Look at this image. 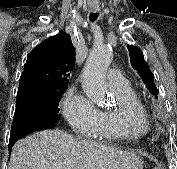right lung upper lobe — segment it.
<instances>
[{
    "instance_id": "1",
    "label": "right lung upper lobe",
    "mask_w": 177,
    "mask_h": 169,
    "mask_svg": "<svg viewBox=\"0 0 177 169\" xmlns=\"http://www.w3.org/2000/svg\"><path fill=\"white\" fill-rule=\"evenodd\" d=\"M75 66V48L65 32L43 41L27 57L17 97L49 95L67 89Z\"/></svg>"
}]
</instances>
